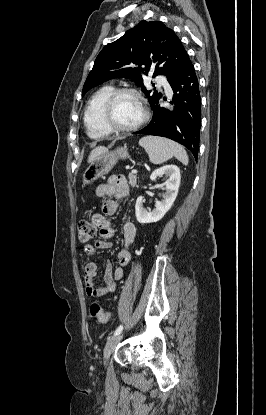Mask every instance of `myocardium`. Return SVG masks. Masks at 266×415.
<instances>
[{
  "mask_svg": "<svg viewBox=\"0 0 266 415\" xmlns=\"http://www.w3.org/2000/svg\"><path fill=\"white\" fill-rule=\"evenodd\" d=\"M123 94L133 95L139 101L140 106L142 108V116L140 120L131 126H120L114 120L113 111H114L115 103L117 99ZM148 118H149L148 108L145 105L141 94L134 88L122 87V88L115 89L109 95L103 107V120L105 124L107 125V127L113 132L127 133V132L136 131L147 122Z\"/></svg>",
  "mask_w": 266,
  "mask_h": 415,
  "instance_id": "1",
  "label": "myocardium"
}]
</instances>
